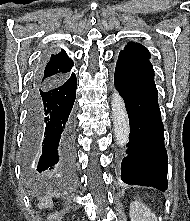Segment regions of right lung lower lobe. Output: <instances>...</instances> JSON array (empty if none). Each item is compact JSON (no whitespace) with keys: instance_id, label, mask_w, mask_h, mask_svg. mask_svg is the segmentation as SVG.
<instances>
[{"instance_id":"obj_1","label":"right lung lower lobe","mask_w":190,"mask_h":221,"mask_svg":"<svg viewBox=\"0 0 190 221\" xmlns=\"http://www.w3.org/2000/svg\"><path fill=\"white\" fill-rule=\"evenodd\" d=\"M76 75L38 83V74L28 100L25 158L34 172L68 169L74 161L75 126L72 112Z\"/></svg>"}]
</instances>
